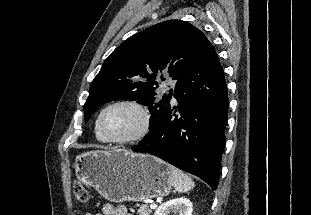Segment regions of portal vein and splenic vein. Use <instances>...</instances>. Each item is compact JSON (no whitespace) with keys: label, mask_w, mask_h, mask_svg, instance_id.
Listing matches in <instances>:
<instances>
[{"label":"portal vein and splenic vein","mask_w":311,"mask_h":215,"mask_svg":"<svg viewBox=\"0 0 311 215\" xmlns=\"http://www.w3.org/2000/svg\"><path fill=\"white\" fill-rule=\"evenodd\" d=\"M150 207H151L152 209H154V208L157 207V205H156L155 203H152V204H150Z\"/></svg>","instance_id":"obj_1"}]
</instances>
